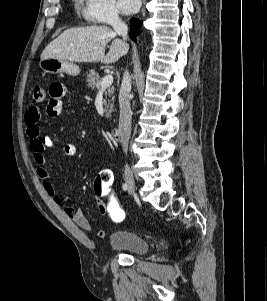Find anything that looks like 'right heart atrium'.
<instances>
[{
    "label": "right heart atrium",
    "instance_id": "obj_1",
    "mask_svg": "<svg viewBox=\"0 0 267 301\" xmlns=\"http://www.w3.org/2000/svg\"><path fill=\"white\" fill-rule=\"evenodd\" d=\"M83 18L88 23L109 24L120 19L114 0H83Z\"/></svg>",
    "mask_w": 267,
    "mask_h": 301
}]
</instances>
